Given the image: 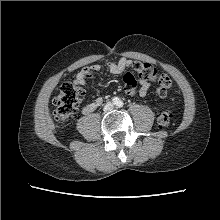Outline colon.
Masks as SVG:
<instances>
[{"instance_id": "obj_1", "label": "colon", "mask_w": 220, "mask_h": 220, "mask_svg": "<svg viewBox=\"0 0 220 220\" xmlns=\"http://www.w3.org/2000/svg\"><path fill=\"white\" fill-rule=\"evenodd\" d=\"M138 76L141 79L152 81L160 96H166L173 87V80L165 73H160L150 63L135 61L132 64V70L123 76L125 88L135 89L137 87ZM82 89L75 83L64 82L57 96L54 99V118L58 123H64L69 120L79 106ZM172 112L169 110L163 111L158 117V125L162 128H167L171 124Z\"/></svg>"}]
</instances>
